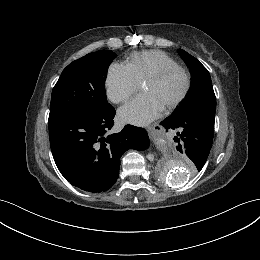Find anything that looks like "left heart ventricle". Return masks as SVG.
<instances>
[{"mask_svg":"<svg viewBox=\"0 0 260 260\" xmlns=\"http://www.w3.org/2000/svg\"><path fill=\"white\" fill-rule=\"evenodd\" d=\"M185 78L181 73H174L158 83H146L144 93L152 94L163 106L172 102L184 89Z\"/></svg>","mask_w":260,"mask_h":260,"instance_id":"b2bd125f","label":"left heart ventricle"}]
</instances>
